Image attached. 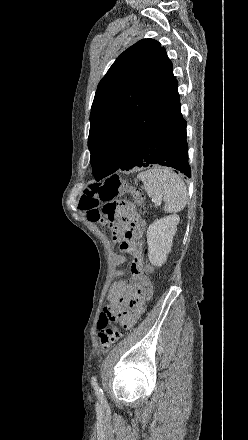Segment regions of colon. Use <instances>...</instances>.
I'll return each mask as SVG.
<instances>
[{"mask_svg": "<svg viewBox=\"0 0 248 440\" xmlns=\"http://www.w3.org/2000/svg\"><path fill=\"white\" fill-rule=\"evenodd\" d=\"M121 192L132 195L134 202L130 204L133 209L142 203L143 194L140 190L125 187L121 178L118 175H113L104 182L90 184L79 200V208L86 213L88 220L101 222L113 230L117 212L120 210L124 214V202L119 203L115 200ZM113 234L116 239L117 234L115 232ZM147 271L151 272L149 265H147ZM114 321L115 315L106 308L98 325L102 351H108L122 338L123 334L113 325Z\"/></svg>", "mask_w": 248, "mask_h": 440, "instance_id": "colon-1", "label": "colon"}]
</instances>
